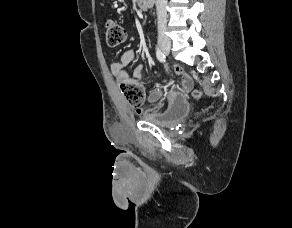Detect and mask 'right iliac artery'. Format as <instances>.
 Returning <instances> with one entry per match:
<instances>
[{
  "label": "right iliac artery",
  "mask_w": 292,
  "mask_h": 228,
  "mask_svg": "<svg viewBox=\"0 0 292 228\" xmlns=\"http://www.w3.org/2000/svg\"><path fill=\"white\" fill-rule=\"evenodd\" d=\"M156 57L162 63L166 61V56L159 47L156 49Z\"/></svg>",
  "instance_id": "obj_1"
}]
</instances>
